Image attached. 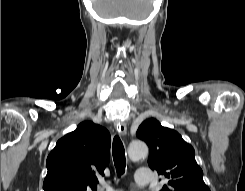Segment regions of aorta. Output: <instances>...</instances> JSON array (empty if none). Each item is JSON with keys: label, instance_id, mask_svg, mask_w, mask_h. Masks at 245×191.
<instances>
[{"label": "aorta", "instance_id": "obj_1", "mask_svg": "<svg viewBox=\"0 0 245 191\" xmlns=\"http://www.w3.org/2000/svg\"><path fill=\"white\" fill-rule=\"evenodd\" d=\"M148 154V147L142 141H133L128 146V156L132 161L145 158Z\"/></svg>", "mask_w": 245, "mask_h": 191}]
</instances>
